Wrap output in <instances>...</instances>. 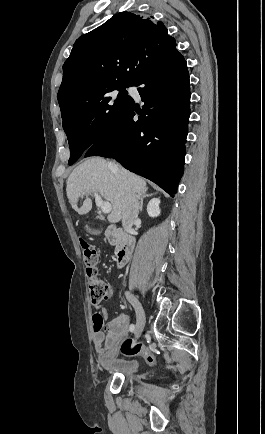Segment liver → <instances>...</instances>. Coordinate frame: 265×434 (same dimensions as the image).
<instances>
[{
    "instance_id": "6515ba94",
    "label": "liver",
    "mask_w": 265,
    "mask_h": 434,
    "mask_svg": "<svg viewBox=\"0 0 265 434\" xmlns=\"http://www.w3.org/2000/svg\"><path fill=\"white\" fill-rule=\"evenodd\" d=\"M113 162H106L103 158H87L85 162H82L80 166H77L73 172H71L67 180V198L73 208L80 216L88 214L92 208V202L90 198H86L83 202V206L78 208L77 202L80 196L84 194H92V192H98L104 200H108L112 204V212L109 214L107 220L111 224L120 222L123 212V202L125 194L121 192L119 188V180L117 178L118 170L124 174L129 182V186L134 194H145L147 192V184L140 176H135L131 172H127L118 164V170L111 168Z\"/></svg>"
}]
</instances>
